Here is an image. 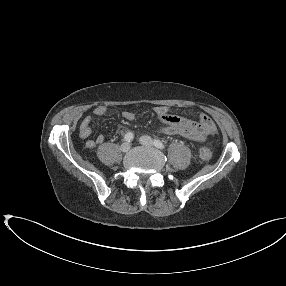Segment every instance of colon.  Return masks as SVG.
<instances>
[{
  "label": "colon",
  "mask_w": 286,
  "mask_h": 286,
  "mask_svg": "<svg viewBox=\"0 0 286 286\" xmlns=\"http://www.w3.org/2000/svg\"><path fill=\"white\" fill-rule=\"evenodd\" d=\"M199 155L202 160H209L212 156V153L209 148L202 147L199 151Z\"/></svg>",
  "instance_id": "5ec220e1"
}]
</instances>
